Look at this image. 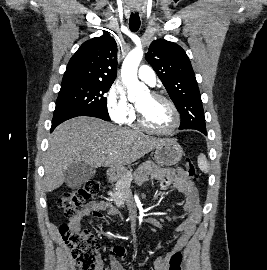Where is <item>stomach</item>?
I'll use <instances>...</instances> for the list:
<instances>
[{
    "label": "stomach",
    "instance_id": "obj_1",
    "mask_svg": "<svg viewBox=\"0 0 267 270\" xmlns=\"http://www.w3.org/2000/svg\"><path fill=\"white\" fill-rule=\"evenodd\" d=\"M182 156V147L173 139L165 141L163 144L158 146L154 152V160L157 164L162 166L175 165L181 160ZM108 173L113 178H120L126 174V168H111Z\"/></svg>",
    "mask_w": 267,
    "mask_h": 270
}]
</instances>
